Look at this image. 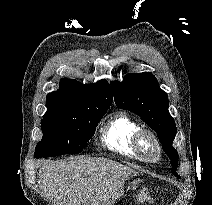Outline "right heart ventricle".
<instances>
[{
    "instance_id": "e07e8e85",
    "label": "right heart ventricle",
    "mask_w": 212,
    "mask_h": 205,
    "mask_svg": "<svg viewBox=\"0 0 212 205\" xmlns=\"http://www.w3.org/2000/svg\"><path fill=\"white\" fill-rule=\"evenodd\" d=\"M139 131L138 124L127 114H114L105 123L100 132L103 146L120 155L139 158L133 144L134 137Z\"/></svg>"
}]
</instances>
